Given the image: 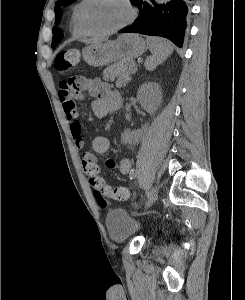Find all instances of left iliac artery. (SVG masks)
<instances>
[{
	"mask_svg": "<svg viewBox=\"0 0 245 300\" xmlns=\"http://www.w3.org/2000/svg\"><path fill=\"white\" fill-rule=\"evenodd\" d=\"M136 176V172H132L130 179L134 178Z\"/></svg>",
	"mask_w": 245,
	"mask_h": 300,
	"instance_id": "1",
	"label": "left iliac artery"
}]
</instances>
